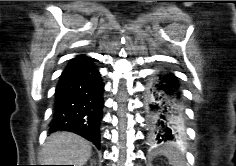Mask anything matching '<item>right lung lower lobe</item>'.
Returning <instances> with one entry per match:
<instances>
[{
	"mask_svg": "<svg viewBox=\"0 0 236 166\" xmlns=\"http://www.w3.org/2000/svg\"><path fill=\"white\" fill-rule=\"evenodd\" d=\"M104 84L94 60L70 63L60 76L50 132L70 131L100 148Z\"/></svg>",
	"mask_w": 236,
	"mask_h": 166,
	"instance_id": "obj_1",
	"label": "right lung lower lobe"
}]
</instances>
